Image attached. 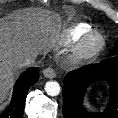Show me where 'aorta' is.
<instances>
[{"instance_id":"obj_1","label":"aorta","mask_w":118,"mask_h":118,"mask_svg":"<svg viewBox=\"0 0 118 118\" xmlns=\"http://www.w3.org/2000/svg\"><path fill=\"white\" fill-rule=\"evenodd\" d=\"M45 91L50 96H57L60 93V85L56 81H48L45 84Z\"/></svg>"}]
</instances>
